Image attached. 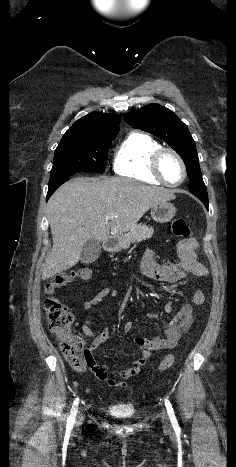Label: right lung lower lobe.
I'll return each instance as SVG.
<instances>
[{"label":"right lung lower lobe","instance_id":"1","mask_svg":"<svg viewBox=\"0 0 236 467\" xmlns=\"http://www.w3.org/2000/svg\"><path fill=\"white\" fill-rule=\"evenodd\" d=\"M69 178H63V179H60L58 180L57 182H54L52 184H49V188H48V193H47V198L46 200L49 199V197L55 192V190L60 186L62 185L63 183H65L66 181H68Z\"/></svg>","mask_w":236,"mask_h":467}]
</instances>
